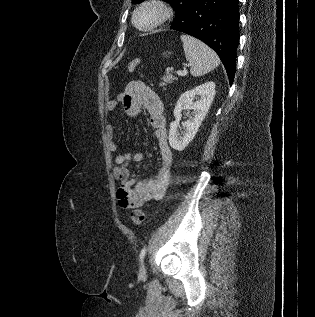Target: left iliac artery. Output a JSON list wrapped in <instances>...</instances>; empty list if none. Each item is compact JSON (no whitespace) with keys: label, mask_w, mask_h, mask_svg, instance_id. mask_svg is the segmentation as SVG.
<instances>
[{"label":"left iliac artery","mask_w":315,"mask_h":317,"mask_svg":"<svg viewBox=\"0 0 315 317\" xmlns=\"http://www.w3.org/2000/svg\"><path fill=\"white\" fill-rule=\"evenodd\" d=\"M146 247H144L141 252H140V255H139V258H140V261H143L144 257H145V254H146Z\"/></svg>","instance_id":"44dca946"}]
</instances>
